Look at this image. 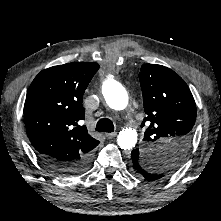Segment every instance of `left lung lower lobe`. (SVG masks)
I'll return each mask as SVG.
<instances>
[{
    "mask_svg": "<svg viewBox=\"0 0 221 221\" xmlns=\"http://www.w3.org/2000/svg\"><path fill=\"white\" fill-rule=\"evenodd\" d=\"M131 171L139 179L150 181L153 180V175L148 171L147 165L142 157V153L139 149H135L131 152Z\"/></svg>",
    "mask_w": 221,
    "mask_h": 221,
    "instance_id": "obj_1",
    "label": "left lung lower lobe"
}]
</instances>
